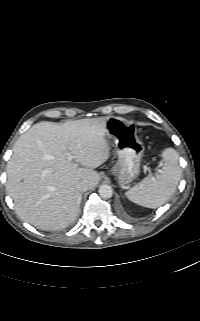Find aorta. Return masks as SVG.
<instances>
[{"label": "aorta", "mask_w": 200, "mask_h": 321, "mask_svg": "<svg viewBox=\"0 0 200 321\" xmlns=\"http://www.w3.org/2000/svg\"><path fill=\"white\" fill-rule=\"evenodd\" d=\"M98 192L103 199H109L112 197L113 189L109 185H101Z\"/></svg>", "instance_id": "1"}]
</instances>
